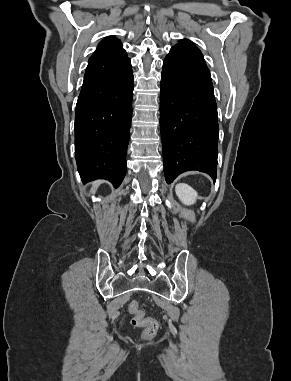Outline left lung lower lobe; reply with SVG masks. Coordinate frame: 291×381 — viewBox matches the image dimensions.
<instances>
[{"label":"left lung lower lobe","mask_w":291,"mask_h":381,"mask_svg":"<svg viewBox=\"0 0 291 381\" xmlns=\"http://www.w3.org/2000/svg\"><path fill=\"white\" fill-rule=\"evenodd\" d=\"M160 129L168 184L189 170L216 179L219 127L210 71L175 48L163 63Z\"/></svg>","instance_id":"1"}]
</instances>
